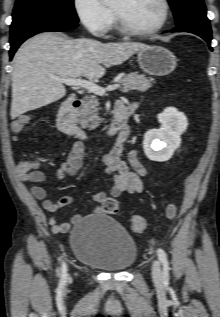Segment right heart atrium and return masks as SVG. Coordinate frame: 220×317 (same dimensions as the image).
Returning <instances> with one entry per match:
<instances>
[{"instance_id": "1", "label": "right heart atrium", "mask_w": 220, "mask_h": 317, "mask_svg": "<svg viewBox=\"0 0 220 317\" xmlns=\"http://www.w3.org/2000/svg\"><path fill=\"white\" fill-rule=\"evenodd\" d=\"M73 6L81 24L92 34L103 36L110 30L114 15L101 0H74Z\"/></svg>"}]
</instances>
